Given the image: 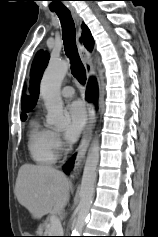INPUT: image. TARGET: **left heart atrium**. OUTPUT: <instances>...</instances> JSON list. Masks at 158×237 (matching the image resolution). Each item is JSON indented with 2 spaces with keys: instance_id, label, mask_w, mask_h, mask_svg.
I'll return each instance as SVG.
<instances>
[{
  "instance_id": "1",
  "label": "left heart atrium",
  "mask_w": 158,
  "mask_h": 237,
  "mask_svg": "<svg viewBox=\"0 0 158 237\" xmlns=\"http://www.w3.org/2000/svg\"><path fill=\"white\" fill-rule=\"evenodd\" d=\"M68 125L65 130V138L68 142H75L87 122V114L84 105L80 101H73L66 108Z\"/></svg>"
}]
</instances>
